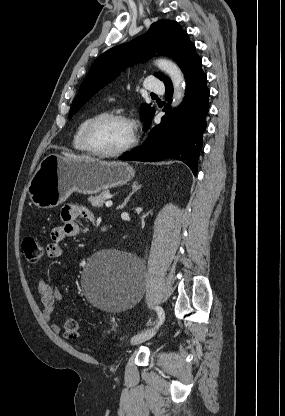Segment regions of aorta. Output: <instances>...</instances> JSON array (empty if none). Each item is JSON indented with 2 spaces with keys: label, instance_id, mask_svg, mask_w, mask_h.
Listing matches in <instances>:
<instances>
[{
  "label": "aorta",
  "instance_id": "obj_1",
  "mask_svg": "<svg viewBox=\"0 0 285 416\" xmlns=\"http://www.w3.org/2000/svg\"><path fill=\"white\" fill-rule=\"evenodd\" d=\"M155 64L164 71L171 79L174 87L173 101L178 105L184 97L185 80L180 68L173 62L160 59Z\"/></svg>",
  "mask_w": 285,
  "mask_h": 416
}]
</instances>
